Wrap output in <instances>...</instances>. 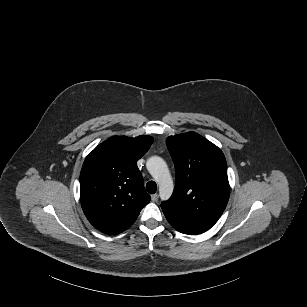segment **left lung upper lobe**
I'll return each instance as SVG.
<instances>
[{"instance_id":"left-lung-upper-lobe-1","label":"left lung upper lobe","mask_w":307,"mask_h":307,"mask_svg":"<svg viewBox=\"0 0 307 307\" xmlns=\"http://www.w3.org/2000/svg\"><path fill=\"white\" fill-rule=\"evenodd\" d=\"M166 144L175 164L176 184L162 210L182 226L205 232L220 218L229 199L224 154L195 132L169 136Z\"/></svg>"}]
</instances>
